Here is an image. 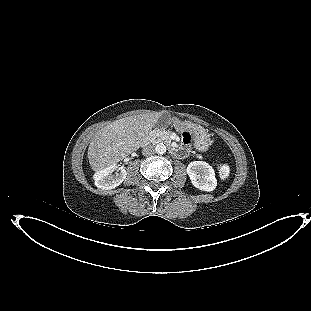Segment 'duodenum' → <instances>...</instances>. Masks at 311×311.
I'll return each instance as SVG.
<instances>
[{"label": "duodenum", "instance_id": "1", "mask_svg": "<svg viewBox=\"0 0 311 311\" xmlns=\"http://www.w3.org/2000/svg\"><path fill=\"white\" fill-rule=\"evenodd\" d=\"M182 151H183L182 149L173 148V147L170 148V152L173 155H179L180 153H182Z\"/></svg>", "mask_w": 311, "mask_h": 311}]
</instances>
